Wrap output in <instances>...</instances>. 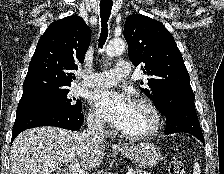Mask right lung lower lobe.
<instances>
[{
    "label": "right lung lower lobe",
    "instance_id": "right-lung-lower-lobe-1",
    "mask_svg": "<svg viewBox=\"0 0 224 174\" xmlns=\"http://www.w3.org/2000/svg\"><path fill=\"white\" fill-rule=\"evenodd\" d=\"M84 122L83 113H60L49 108L28 105L17 108L11 142L22 131L39 126H56L69 130H78Z\"/></svg>",
    "mask_w": 224,
    "mask_h": 174
}]
</instances>
